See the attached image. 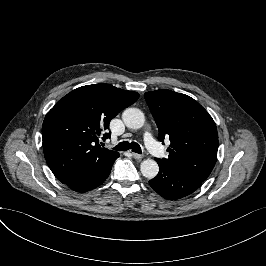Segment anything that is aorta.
Returning <instances> with one entry per match:
<instances>
[{
  "label": "aorta",
  "instance_id": "obj_1",
  "mask_svg": "<svg viewBox=\"0 0 266 266\" xmlns=\"http://www.w3.org/2000/svg\"><path fill=\"white\" fill-rule=\"evenodd\" d=\"M124 124L131 129H140L145 122L144 113L138 108H127L122 113ZM140 171L147 179H153L159 172V166L153 159H146L140 164Z\"/></svg>",
  "mask_w": 266,
  "mask_h": 266
}]
</instances>
